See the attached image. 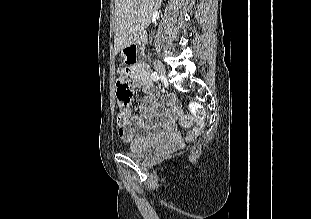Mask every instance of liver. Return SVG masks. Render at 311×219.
<instances>
[{
  "label": "liver",
  "mask_w": 311,
  "mask_h": 219,
  "mask_svg": "<svg viewBox=\"0 0 311 219\" xmlns=\"http://www.w3.org/2000/svg\"><path fill=\"white\" fill-rule=\"evenodd\" d=\"M162 0H115V54L134 43Z\"/></svg>",
  "instance_id": "6515ba94"
}]
</instances>
